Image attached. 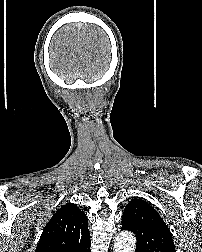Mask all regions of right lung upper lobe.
<instances>
[{
  "instance_id": "1",
  "label": "right lung upper lobe",
  "mask_w": 202,
  "mask_h": 252,
  "mask_svg": "<svg viewBox=\"0 0 202 252\" xmlns=\"http://www.w3.org/2000/svg\"><path fill=\"white\" fill-rule=\"evenodd\" d=\"M88 219L76 204L67 203L45 226L35 252H89Z\"/></svg>"
}]
</instances>
